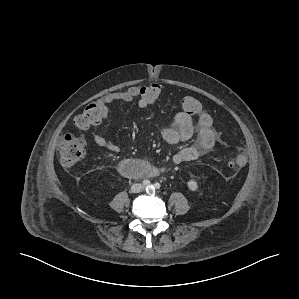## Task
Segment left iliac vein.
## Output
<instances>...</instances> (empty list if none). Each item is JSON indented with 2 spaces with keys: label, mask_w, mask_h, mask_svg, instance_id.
Wrapping results in <instances>:
<instances>
[{
  "label": "left iliac vein",
  "mask_w": 299,
  "mask_h": 299,
  "mask_svg": "<svg viewBox=\"0 0 299 299\" xmlns=\"http://www.w3.org/2000/svg\"><path fill=\"white\" fill-rule=\"evenodd\" d=\"M148 190H152V186L147 187Z\"/></svg>",
  "instance_id": "1"
}]
</instances>
